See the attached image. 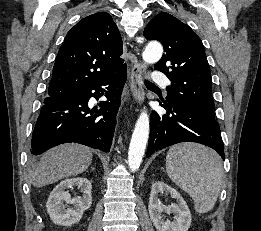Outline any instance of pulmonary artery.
<instances>
[{
  "mask_svg": "<svg viewBox=\"0 0 261 231\" xmlns=\"http://www.w3.org/2000/svg\"><path fill=\"white\" fill-rule=\"evenodd\" d=\"M152 81H153V83L161 85L163 87H167L170 85L168 77L165 74L160 73V72H156L153 74Z\"/></svg>",
  "mask_w": 261,
  "mask_h": 231,
  "instance_id": "pulmonary-artery-1",
  "label": "pulmonary artery"
}]
</instances>
